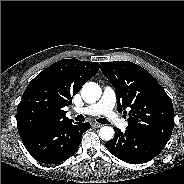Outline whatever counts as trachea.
<instances>
[{"label": "trachea", "instance_id": "3493384b", "mask_svg": "<svg viewBox=\"0 0 184 184\" xmlns=\"http://www.w3.org/2000/svg\"><path fill=\"white\" fill-rule=\"evenodd\" d=\"M76 121H79V122L80 121H85V118H84L83 115L80 114L76 117ZM96 121L101 123V124H108V121L105 118H99Z\"/></svg>", "mask_w": 184, "mask_h": 184}]
</instances>
